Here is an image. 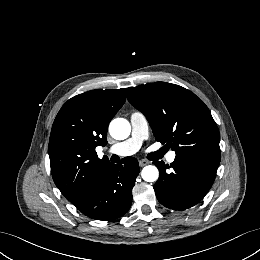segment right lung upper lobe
<instances>
[{
  "label": "right lung upper lobe",
  "instance_id": "1",
  "mask_svg": "<svg viewBox=\"0 0 260 260\" xmlns=\"http://www.w3.org/2000/svg\"><path fill=\"white\" fill-rule=\"evenodd\" d=\"M125 99L126 88L91 90L68 100L53 123L49 143L52 176L73 204L111 164L99 159L95 148L107 143L109 122Z\"/></svg>",
  "mask_w": 260,
  "mask_h": 260
}]
</instances>
